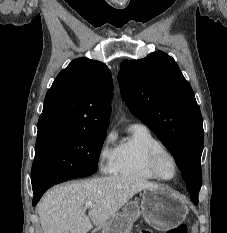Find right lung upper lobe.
Masks as SVG:
<instances>
[{
    "label": "right lung upper lobe",
    "instance_id": "cb5924a9",
    "mask_svg": "<svg viewBox=\"0 0 227 233\" xmlns=\"http://www.w3.org/2000/svg\"><path fill=\"white\" fill-rule=\"evenodd\" d=\"M113 84L102 62L78 58L62 70L48 90L38 133L53 129L106 130Z\"/></svg>",
    "mask_w": 227,
    "mask_h": 233
}]
</instances>
